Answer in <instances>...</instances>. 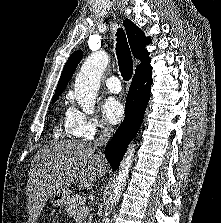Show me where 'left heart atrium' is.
Masks as SVG:
<instances>
[{"mask_svg": "<svg viewBox=\"0 0 221 223\" xmlns=\"http://www.w3.org/2000/svg\"><path fill=\"white\" fill-rule=\"evenodd\" d=\"M103 116L106 122L116 125L123 119L125 109L123 104L116 98H108L102 106Z\"/></svg>", "mask_w": 221, "mask_h": 223, "instance_id": "obj_1", "label": "left heart atrium"}]
</instances>
